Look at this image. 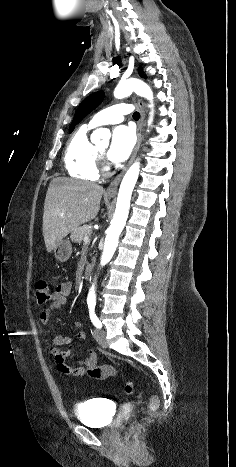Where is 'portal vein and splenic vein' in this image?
I'll return each instance as SVG.
<instances>
[{"instance_id":"18ae733b","label":"portal vein and splenic vein","mask_w":236,"mask_h":467,"mask_svg":"<svg viewBox=\"0 0 236 467\" xmlns=\"http://www.w3.org/2000/svg\"><path fill=\"white\" fill-rule=\"evenodd\" d=\"M83 240H84L85 243H88L90 241L89 236H85Z\"/></svg>"}]
</instances>
